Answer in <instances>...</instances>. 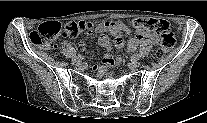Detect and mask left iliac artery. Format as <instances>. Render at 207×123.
Segmentation results:
<instances>
[{
  "instance_id": "left-iliac-artery-1",
  "label": "left iliac artery",
  "mask_w": 207,
  "mask_h": 123,
  "mask_svg": "<svg viewBox=\"0 0 207 123\" xmlns=\"http://www.w3.org/2000/svg\"><path fill=\"white\" fill-rule=\"evenodd\" d=\"M139 59H140V55L137 53L132 56L133 61H138Z\"/></svg>"
}]
</instances>
